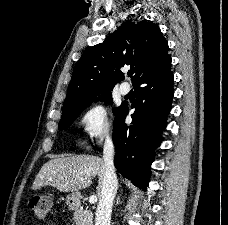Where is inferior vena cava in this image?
Here are the masks:
<instances>
[{"instance_id": "602c4592", "label": "inferior vena cava", "mask_w": 228, "mask_h": 225, "mask_svg": "<svg viewBox=\"0 0 228 225\" xmlns=\"http://www.w3.org/2000/svg\"><path fill=\"white\" fill-rule=\"evenodd\" d=\"M114 145L111 139H106L103 149L105 171L100 183L99 203L95 213V225H110L113 201L118 189V181L113 163Z\"/></svg>"}]
</instances>
